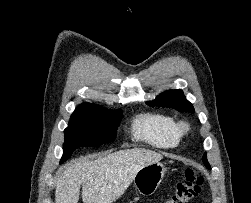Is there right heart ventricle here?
Instances as JSON below:
<instances>
[{
  "mask_svg": "<svg viewBox=\"0 0 251 203\" xmlns=\"http://www.w3.org/2000/svg\"><path fill=\"white\" fill-rule=\"evenodd\" d=\"M132 134L135 139L157 148H173L182 137L176 119L159 112L138 115L132 123Z\"/></svg>",
  "mask_w": 251,
  "mask_h": 203,
  "instance_id": "obj_1",
  "label": "right heart ventricle"
}]
</instances>
